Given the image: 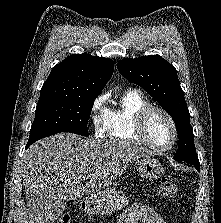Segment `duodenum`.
<instances>
[{
	"label": "duodenum",
	"mask_w": 221,
	"mask_h": 223,
	"mask_svg": "<svg viewBox=\"0 0 221 223\" xmlns=\"http://www.w3.org/2000/svg\"><path fill=\"white\" fill-rule=\"evenodd\" d=\"M82 206H83V208H87L88 203H87V201H86V200H84V201L82 202Z\"/></svg>",
	"instance_id": "1"
}]
</instances>
